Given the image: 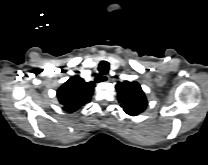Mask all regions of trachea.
<instances>
[{
  "label": "trachea",
  "instance_id": "3493384b",
  "mask_svg": "<svg viewBox=\"0 0 208 165\" xmlns=\"http://www.w3.org/2000/svg\"><path fill=\"white\" fill-rule=\"evenodd\" d=\"M109 67H110L109 62L102 61L99 64L98 70H99L100 74L104 75V74H107L109 72ZM97 82H99L98 79H97Z\"/></svg>",
  "mask_w": 208,
  "mask_h": 165
}]
</instances>
